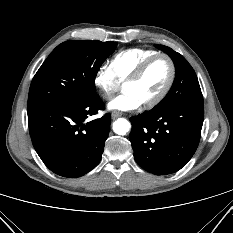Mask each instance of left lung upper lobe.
Listing matches in <instances>:
<instances>
[{"instance_id": "1", "label": "left lung upper lobe", "mask_w": 233, "mask_h": 233, "mask_svg": "<svg viewBox=\"0 0 233 233\" xmlns=\"http://www.w3.org/2000/svg\"><path fill=\"white\" fill-rule=\"evenodd\" d=\"M166 52L174 62L176 76L166 97L152 110H159L180 103L203 104V96L195 71L179 53L164 45H157Z\"/></svg>"}]
</instances>
